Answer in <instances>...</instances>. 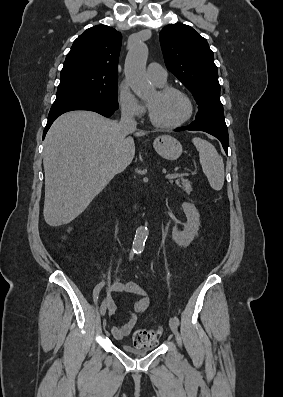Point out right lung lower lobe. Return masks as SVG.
<instances>
[{
  "label": "right lung lower lobe",
  "instance_id": "right-lung-lower-lobe-1",
  "mask_svg": "<svg viewBox=\"0 0 283 397\" xmlns=\"http://www.w3.org/2000/svg\"><path fill=\"white\" fill-rule=\"evenodd\" d=\"M72 110H90L97 112L105 117H110L116 111L114 109L106 108L101 105L88 102L66 101L53 103L48 115L47 125L43 132V139L54 120L61 114Z\"/></svg>",
  "mask_w": 283,
  "mask_h": 397
}]
</instances>
